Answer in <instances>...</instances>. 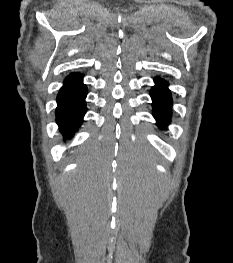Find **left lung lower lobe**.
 <instances>
[{"instance_id": "0a47b994", "label": "left lung lower lobe", "mask_w": 233, "mask_h": 263, "mask_svg": "<svg viewBox=\"0 0 233 263\" xmlns=\"http://www.w3.org/2000/svg\"><path fill=\"white\" fill-rule=\"evenodd\" d=\"M167 86L165 80L155 78V86L151 89L153 116L161 129L170 123L171 118L172 98Z\"/></svg>"}]
</instances>
